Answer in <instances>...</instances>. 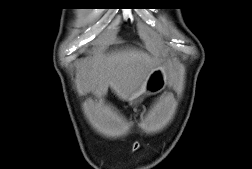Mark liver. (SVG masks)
Instances as JSON below:
<instances>
[{"label": "liver", "instance_id": "liver-1", "mask_svg": "<svg viewBox=\"0 0 252 169\" xmlns=\"http://www.w3.org/2000/svg\"><path fill=\"white\" fill-rule=\"evenodd\" d=\"M158 65V54L135 47L99 51L85 63L80 83L97 99L104 98L110 87L121 100L131 101L144 91Z\"/></svg>", "mask_w": 252, "mask_h": 169}]
</instances>
